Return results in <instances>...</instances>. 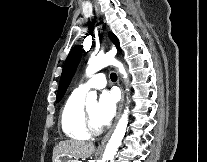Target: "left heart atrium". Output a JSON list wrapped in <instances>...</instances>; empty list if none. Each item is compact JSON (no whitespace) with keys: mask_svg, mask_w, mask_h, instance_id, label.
I'll return each mask as SVG.
<instances>
[{"mask_svg":"<svg viewBox=\"0 0 207 162\" xmlns=\"http://www.w3.org/2000/svg\"><path fill=\"white\" fill-rule=\"evenodd\" d=\"M118 98L114 91H104L100 95L97 119L101 126H105L113 119L117 109Z\"/></svg>","mask_w":207,"mask_h":162,"instance_id":"obj_1","label":"left heart atrium"}]
</instances>
